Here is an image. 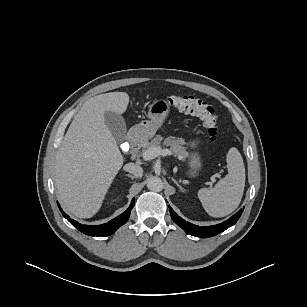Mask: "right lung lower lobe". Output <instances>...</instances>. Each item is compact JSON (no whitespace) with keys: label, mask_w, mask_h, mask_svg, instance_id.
Here are the masks:
<instances>
[{"label":"right lung lower lobe","mask_w":307,"mask_h":307,"mask_svg":"<svg viewBox=\"0 0 307 307\" xmlns=\"http://www.w3.org/2000/svg\"><path fill=\"white\" fill-rule=\"evenodd\" d=\"M59 206V205H58ZM134 206V199H132V202L129 206V208L123 212L118 217L112 219L108 223L102 224V225H82L73 219H70V217L65 214L62 209L59 206L60 211L62 212L63 216L72 224L74 225L79 231L86 235L90 236H108L114 233L120 226L125 224L130 216V211Z\"/></svg>","instance_id":"right-lung-lower-lobe-1"}]
</instances>
